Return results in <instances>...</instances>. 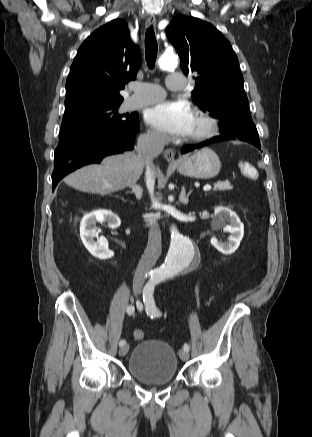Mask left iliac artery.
Listing matches in <instances>:
<instances>
[{"label":"left iliac artery","instance_id":"44dca946","mask_svg":"<svg viewBox=\"0 0 312 437\" xmlns=\"http://www.w3.org/2000/svg\"><path fill=\"white\" fill-rule=\"evenodd\" d=\"M159 281L160 280L156 277L151 278L143 290V301H144L145 306H146V312L151 318L159 317L161 315V312L156 307L155 301L153 298L154 287ZM183 349L186 351H189V349H190L189 344L185 343L183 345Z\"/></svg>","mask_w":312,"mask_h":437}]
</instances>
